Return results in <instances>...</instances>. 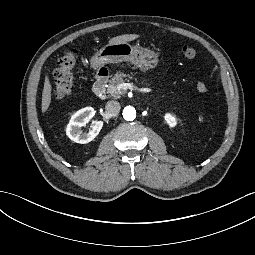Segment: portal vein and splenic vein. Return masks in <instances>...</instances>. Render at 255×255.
I'll return each mask as SVG.
<instances>
[{"label": "portal vein and splenic vein", "mask_w": 255, "mask_h": 255, "mask_svg": "<svg viewBox=\"0 0 255 255\" xmlns=\"http://www.w3.org/2000/svg\"><path fill=\"white\" fill-rule=\"evenodd\" d=\"M135 88H137V87H135L132 83H122V84H119V85L117 86V89H118V90H120V89H124V90L130 89V90L132 91V90H134ZM137 90L140 91V92H144V93H147V92H151V91H152L151 88H137Z\"/></svg>", "instance_id": "obj_1"}]
</instances>
